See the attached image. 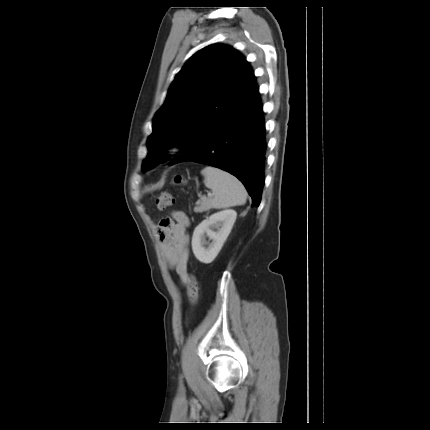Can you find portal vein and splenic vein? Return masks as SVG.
Returning a JSON list of instances; mask_svg holds the SVG:
<instances>
[{"label": "portal vein and splenic vein", "instance_id": "portal-vein-and-splenic-vein-1", "mask_svg": "<svg viewBox=\"0 0 430 430\" xmlns=\"http://www.w3.org/2000/svg\"><path fill=\"white\" fill-rule=\"evenodd\" d=\"M207 195H208V196H213V194H212V193H208Z\"/></svg>", "mask_w": 430, "mask_h": 430}]
</instances>
